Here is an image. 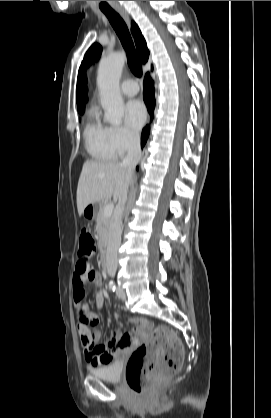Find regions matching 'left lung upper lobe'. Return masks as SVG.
Instances as JSON below:
<instances>
[{
  "label": "left lung upper lobe",
  "instance_id": "1",
  "mask_svg": "<svg viewBox=\"0 0 271 418\" xmlns=\"http://www.w3.org/2000/svg\"><path fill=\"white\" fill-rule=\"evenodd\" d=\"M101 51L102 48L99 44H93L85 54L81 67L86 68L90 63H92L100 56Z\"/></svg>",
  "mask_w": 271,
  "mask_h": 418
}]
</instances>
